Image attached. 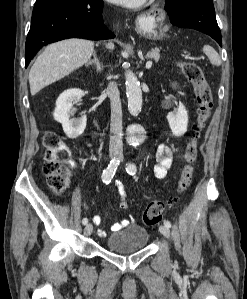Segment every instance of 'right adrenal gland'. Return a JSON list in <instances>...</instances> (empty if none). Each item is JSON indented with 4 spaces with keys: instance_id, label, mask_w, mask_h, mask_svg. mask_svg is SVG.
Wrapping results in <instances>:
<instances>
[{
    "instance_id": "2a0ac1e0",
    "label": "right adrenal gland",
    "mask_w": 247,
    "mask_h": 299,
    "mask_svg": "<svg viewBox=\"0 0 247 299\" xmlns=\"http://www.w3.org/2000/svg\"><path fill=\"white\" fill-rule=\"evenodd\" d=\"M88 65H94L97 73H100L103 69L102 62L97 56V52L93 53V59L89 60Z\"/></svg>"
}]
</instances>
